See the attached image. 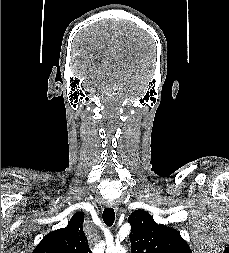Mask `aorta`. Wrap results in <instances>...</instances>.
<instances>
[{
    "label": "aorta",
    "mask_w": 229,
    "mask_h": 253,
    "mask_svg": "<svg viewBox=\"0 0 229 253\" xmlns=\"http://www.w3.org/2000/svg\"><path fill=\"white\" fill-rule=\"evenodd\" d=\"M106 253H126V250L122 246H114L107 248Z\"/></svg>",
    "instance_id": "762f6f07"
}]
</instances>
